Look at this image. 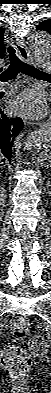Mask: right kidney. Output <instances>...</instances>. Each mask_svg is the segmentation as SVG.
I'll list each match as a JSON object with an SVG mask.
<instances>
[{"label": "right kidney", "mask_w": 51, "mask_h": 393, "mask_svg": "<svg viewBox=\"0 0 51 393\" xmlns=\"http://www.w3.org/2000/svg\"><path fill=\"white\" fill-rule=\"evenodd\" d=\"M4 198H5V196H4V191L2 190L1 191V197H0V204L3 206L4 205Z\"/></svg>", "instance_id": "obj_1"}]
</instances>
